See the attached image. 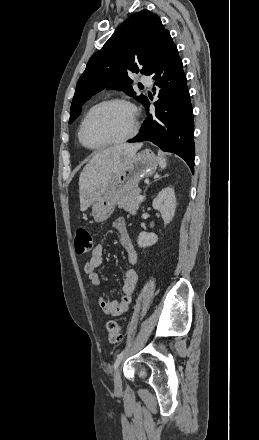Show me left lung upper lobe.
Wrapping results in <instances>:
<instances>
[{
  "label": "left lung upper lobe",
  "instance_id": "left-lung-upper-lobe-1",
  "mask_svg": "<svg viewBox=\"0 0 259 440\" xmlns=\"http://www.w3.org/2000/svg\"><path fill=\"white\" fill-rule=\"evenodd\" d=\"M168 35L156 14L142 10L130 16L90 58L77 83L69 123L79 116L85 102L108 86L135 96L128 84L132 82L128 74L147 75ZM135 99L143 105L148 100L144 95L135 96Z\"/></svg>",
  "mask_w": 259,
  "mask_h": 440
}]
</instances>
